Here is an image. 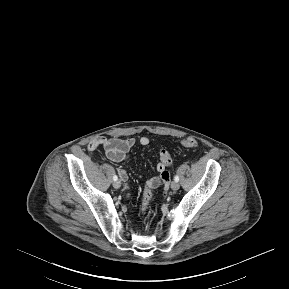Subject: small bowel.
<instances>
[{
	"mask_svg": "<svg viewBox=\"0 0 289 289\" xmlns=\"http://www.w3.org/2000/svg\"><path fill=\"white\" fill-rule=\"evenodd\" d=\"M138 142L141 146H147L150 143L149 138L143 136L138 139V141L129 137L126 139L120 138H106L104 136H97L92 139L88 144V149L91 152L96 151L98 148L102 147L105 150L106 157L114 162H127L129 160L128 152L129 150ZM156 170L159 172L158 176L149 178L145 182V188L153 189L158 186L164 185L165 192L163 193V197L167 196V191L169 190V181L171 177V171L169 170V166L167 164L158 163L156 165ZM118 174L120 178L125 182V189L127 191V198L130 197L129 186L127 184L128 175L126 171L122 168L118 169Z\"/></svg>",
	"mask_w": 289,
	"mask_h": 289,
	"instance_id": "1",
	"label": "small bowel"
}]
</instances>
